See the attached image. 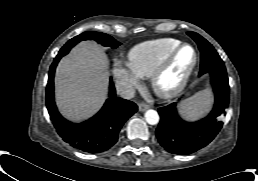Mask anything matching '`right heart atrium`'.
I'll return each instance as SVG.
<instances>
[{
  "instance_id": "right-heart-atrium-1",
  "label": "right heart atrium",
  "mask_w": 258,
  "mask_h": 181,
  "mask_svg": "<svg viewBox=\"0 0 258 181\" xmlns=\"http://www.w3.org/2000/svg\"><path fill=\"white\" fill-rule=\"evenodd\" d=\"M116 86L124 96H129L140 86V77L137 76L128 65L116 61L112 67Z\"/></svg>"
}]
</instances>
